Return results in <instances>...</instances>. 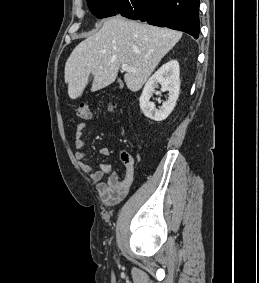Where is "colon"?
Instances as JSON below:
<instances>
[{"label":"colon","instance_id":"5ec220e1","mask_svg":"<svg viewBox=\"0 0 259 283\" xmlns=\"http://www.w3.org/2000/svg\"><path fill=\"white\" fill-rule=\"evenodd\" d=\"M116 108V104L114 102L110 103L109 109L113 110ZM76 114L78 118L83 120H89L91 118V111L88 103H80L77 107ZM122 160L124 163H133L134 159L128 152L122 153Z\"/></svg>","mask_w":259,"mask_h":283}]
</instances>
